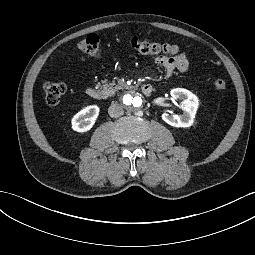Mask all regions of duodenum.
Returning <instances> with one entry per match:
<instances>
[{
	"mask_svg": "<svg viewBox=\"0 0 255 255\" xmlns=\"http://www.w3.org/2000/svg\"><path fill=\"white\" fill-rule=\"evenodd\" d=\"M152 86L150 84H144L142 86V92L149 96L152 93ZM86 94L88 97L94 100H100L102 98V92L96 87H89L86 89Z\"/></svg>",
	"mask_w": 255,
	"mask_h": 255,
	"instance_id": "410a0bca",
	"label": "duodenum"
}]
</instances>
